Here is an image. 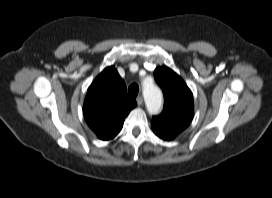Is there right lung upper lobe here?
<instances>
[{
	"label": "right lung upper lobe",
	"mask_w": 272,
	"mask_h": 198,
	"mask_svg": "<svg viewBox=\"0 0 272 198\" xmlns=\"http://www.w3.org/2000/svg\"><path fill=\"white\" fill-rule=\"evenodd\" d=\"M136 106L126 85L113 67L104 69L88 88L83 114L89 127L101 140L114 138L125 117Z\"/></svg>",
	"instance_id": "cb5924a9"
}]
</instances>
